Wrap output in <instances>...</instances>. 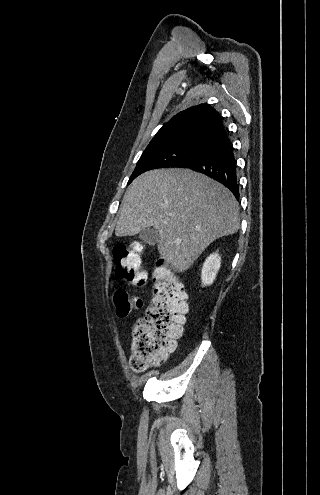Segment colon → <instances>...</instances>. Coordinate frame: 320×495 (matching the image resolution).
I'll use <instances>...</instances> for the list:
<instances>
[{
    "instance_id": "1",
    "label": "colon",
    "mask_w": 320,
    "mask_h": 495,
    "mask_svg": "<svg viewBox=\"0 0 320 495\" xmlns=\"http://www.w3.org/2000/svg\"><path fill=\"white\" fill-rule=\"evenodd\" d=\"M141 254L142 250L135 244L120 243L114 247L115 273L120 280L139 286L146 282ZM153 282L151 304L132 331L130 365L136 372L143 371L174 350L188 309L183 286L170 270L162 266L156 268ZM113 298L120 317L141 306V301L124 289H116Z\"/></svg>"
}]
</instances>
